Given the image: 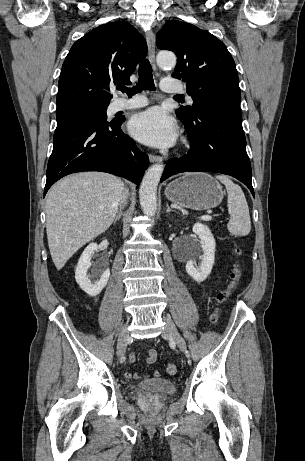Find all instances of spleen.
Returning a JSON list of instances; mask_svg holds the SVG:
<instances>
[{"mask_svg":"<svg viewBox=\"0 0 305 461\" xmlns=\"http://www.w3.org/2000/svg\"><path fill=\"white\" fill-rule=\"evenodd\" d=\"M226 187L228 199L227 207L230 220L227 224L228 231L235 236H246L251 230L249 207L245 195L237 184L233 183L227 176H216Z\"/></svg>","mask_w":305,"mask_h":461,"instance_id":"3e777b00","label":"spleen"}]
</instances>
